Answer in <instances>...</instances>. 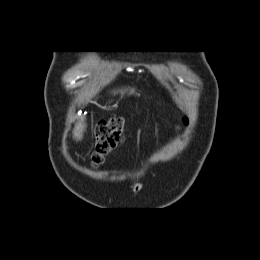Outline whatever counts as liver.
<instances>
[{
  "instance_id": "obj_1",
  "label": "liver",
  "mask_w": 260,
  "mask_h": 260,
  "mask_svg": "<svg viewBox=\"0 0 260 260\" xmlns=\"http://www.w3.org/2000/svg\"><path fill=\"white\" fill-rule=\"evenodd\" d=\"M85 129H86L85 119L81 118L77 121L73 130V136L77 141H80L83 138V133Z\"/></svg>"
}]
</instances>
